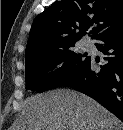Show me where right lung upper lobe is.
<instances>
[{"label":"right lung upper lobe","instance_id":"right-lung-upper-lobe-1","mask_svg":"<svg viewBox=\"0 0 123 130\" xmlns=\"http://www.w3.org/2000/svg\"><path fill=\"white\" fill-rule=\"evenodd\" d=\"M92 39L123 26V0H61L33 21L25 59L73 47L92 27Z\"/></svg>","mask_w":123,"mask_h":130}]
</instances>
